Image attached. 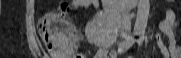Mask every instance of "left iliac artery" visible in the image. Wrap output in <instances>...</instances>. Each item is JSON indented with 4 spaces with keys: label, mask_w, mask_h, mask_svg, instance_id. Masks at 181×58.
I'll list each match as a JSON object with an SVG mask.
<instances>
[{
    "label": "left iliac artery",
    "mask_w": 181,
    "mask_h": 58,
    "mask_svg": "<svg viewBox=\"0 0 181 58\" xmlns=\"http://www.w3.org/2000/svg\"><path fill=\"white\" fill-rule=\"evenodd\" d=\"M143 39H144V34H141V35H140V38L138 39V44H139V46L142 45Z\"/></svg>",
    "instance_id": "44dca946"
}]
</instances>
